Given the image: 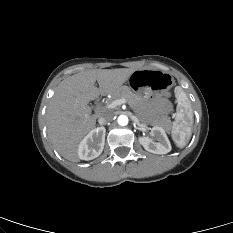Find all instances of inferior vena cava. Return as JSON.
Instances as JSON below:
<instances>
[{
	"mask_svg": "<svg viewBox=\"0 0 233 233\" xmlns=\"http://www.w3.org/2000/svg\"><path fill=\"white\" fill-rule=\"evenodd\" d=\"M114 117V114L110 111H105L101 114V116L98 119V122L100 125H105L108 122H110Z\"/></svg>",
	"mask_w": 233,
	"mask_h": 233,
	"instance_id": "obj_1",
	"label": "inferior vena cava"
}]
</instances>
